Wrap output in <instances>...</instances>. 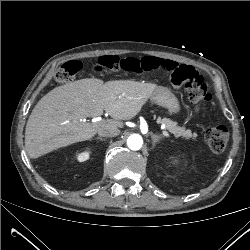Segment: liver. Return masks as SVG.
<instances>
[{"instance_id":"6515ba94","label":"liver","mask_w":250,"mask_h":250,"mask_svg":"<svg viewBox=\"0 0 250 250\" xmlns=\"http://www.w3.org/2000/svg\"><path fill=\"white\" fill-rule=\"evenodd\" d=\"M153 83L87 78L54 88L32 110L25 129V148L35 159L53 150L91 139L104 128H122L133 119L157 89ZM112 119L95 123L82 119Z\"/></svg>"}]
</instances>
